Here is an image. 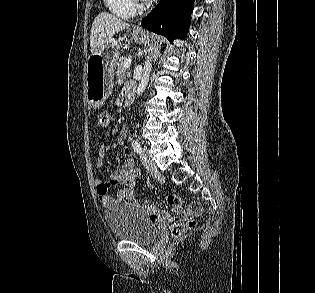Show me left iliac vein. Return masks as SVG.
Here are the masks:
<instances>
[{"mask_svg": "<svg viewBox=\"0 0 315 293\" xmlns=\"http://www.w3.org/2000/svg\"><path fill=\"white\" fill-rule=\"evenodd\" d=\"M141 162L143 166L149 171V172H155L156 171V165L154 161L152 160L151 156L149 155L148 151L144 149L140 155Z\"/></svg>", "mask_w": 315, "mask_h": 293, "instance_id": "4c4485c4", "label": "left iliac vein"}]
</instances>
